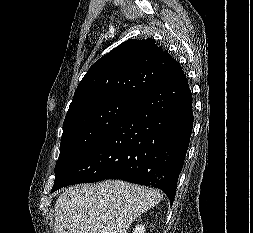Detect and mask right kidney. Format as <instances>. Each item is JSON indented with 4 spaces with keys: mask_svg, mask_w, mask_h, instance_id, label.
<instances>
[{
    "mask_svg": "<svg viewBox=\"0 0 253 233\" xmlns=\"http://www.w3.org/2000/svg\"><path fill=\"white\" fill-rule=\"evenodd\" d=\"M133 233H145L144 225H137L133 231Z\"/></svg>",
    "mask_w": 253,
    "mask_h": 233,
    "instance_id": "right-kidney-1",
    "label": "right kidney"
}]
</instances>
